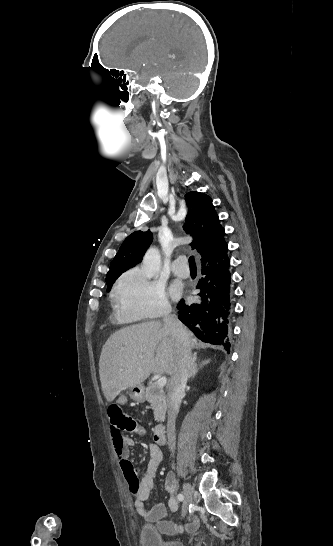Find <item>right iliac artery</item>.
I'll return each instance as SVG.
<instances>
[{
    "instance_id": "obj_1",
    "label": "right iliac artery",
    "mask_w": 333,
    "mask_h": 546,
    "mask_svg": "<svg viewBox=\"0 0 333 546\" xmlns=\"http://www.w3.org/2000/svg\"><path fill=\"white\" fill-rule=\"evenodd\" d=\"M177 499H178L179 501H183V500H184L183 494H178V495H177Z\"/></svg>"
}]
</instances>
